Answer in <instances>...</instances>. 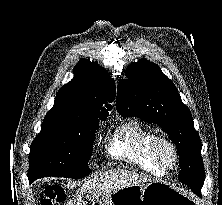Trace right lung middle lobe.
<instances>
[{
  "label": "right lung middle lobe",
  "mask_w": 222,
  "mask_h": 205,
  "mask_svg": "<svg viewBox=\"0 0 222 205\" xmlns=\"http://www.w3.org/2000/svg\"><path fill=\"white\" fill-rule=\"evenodd\" d=\"M98 127L99 120L43 121L30 147L29 180L48 176L80 179L88 175Z\"/></svg>",
  "instance_id": "right-lung-middle-lobe-1"
}]
</instances>
